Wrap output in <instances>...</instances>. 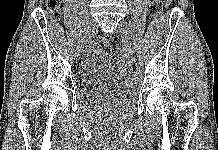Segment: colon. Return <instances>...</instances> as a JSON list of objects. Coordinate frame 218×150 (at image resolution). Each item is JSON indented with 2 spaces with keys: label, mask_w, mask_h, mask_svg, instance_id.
<instances>
[{
  "label": "colon",
  "mask_w": 218,
  "mask_h": 150,
  "mask_svg": "<svg viewBox=\"0 0 218 150\" xmlns=\"http://www.w3.org/2000/svg\"><path fill=\"white\" fill-rule=\"evenodd\" d=\"M46 6L51 15L56 17L63 6V0H46ZM147 7L150 15L158 16L163 13L165 9V2L164 0H148ZM95 45L99 51L105 53H109L111 51V44L104 37H99L96 40Z\"/></svg>",
  "instance_id": "1"
}]
</instances>
